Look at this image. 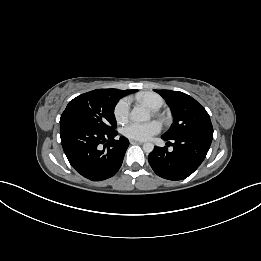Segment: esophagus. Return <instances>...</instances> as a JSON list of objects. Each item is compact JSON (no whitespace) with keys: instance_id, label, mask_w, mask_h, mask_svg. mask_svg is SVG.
<instances>
[{"instance_id":"34e87169","label":"esophagus","mask_w":261,"mask_h":261,"mask_svg":"<svg viewBox=\"0 0 261 261\" xmlns=\"http://www.w3.org/2000/svg\"><path fill=\"white\" fill-rule=\"evenodd\" d=\"M130 143H131L132 145H134V144H139V145L143 144L142 141H137V140H130Z\"/></svg>"}]
</instances>
